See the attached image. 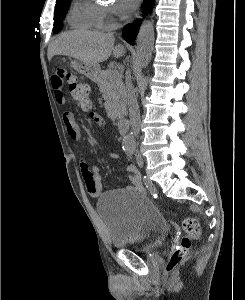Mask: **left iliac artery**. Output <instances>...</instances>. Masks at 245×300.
<instances>
[{
	"mask_svg": "<svg viewBox=\"0 0 245 300\" xmlns=\"http://www.w3.org/2000/svg\"><path fill=\"white\" fill-rule=\"evenodd\" d=\"M128 154L131 157V155L133 154V151H128Z\"/></svg>",
	"mask_w": 245,
	"mask_h": 300,
	"instance_id": "44dca946",
	"label": "left iliac artery"
}]
</instances>
